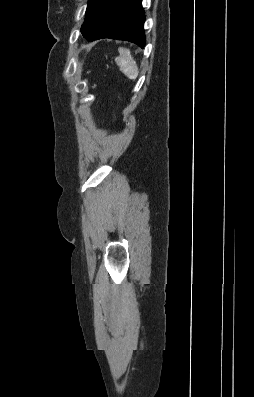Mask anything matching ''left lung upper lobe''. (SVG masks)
<instances>
[{
	"instance_id": "left-lung-upper-lobe-1",
	"label": "left lung upper lobe",
	"mask_w": 254,
	"mask_h": 397,
	"mask_svg": "<svg viewBox=\"0 0 254 397\" xmlns=\"http://www.w3.org/2000/svg\"><path fill=\"white\" fill-rule=\"evenodd\" d=\"M109 0H88L85 21L81 32L85 38L89 37L98 26Z\"/></svg>"
}]
</instances>
